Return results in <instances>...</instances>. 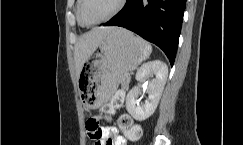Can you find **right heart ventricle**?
I'll list each match as a JSON object with an SVG mask.
<instances>
[{
    "label": "right heart ventricle",
    "instance_id": "obj_1",
    "mask_svg": "<svg viewBox=\"0 0 243 145\" xmlns=\"http://www.w3.org/2000/svg\"><path fill=\"white\" fill-rule=\"evenodd\" d=\"M78 11H79V0H77V21L79 25L83 26V24L80 22L79 16H78Z\"/></svg>",
    "mask_w": 243,
    "mask_h": 145
}]
</instances>
